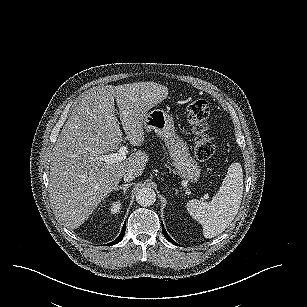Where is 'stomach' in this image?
<instances>
[{
  "mask_svg": "<svg viewBox=\"0 0 307 307\" xmlns=\"http://www.w3.org/2000/svg\"><path fill=\"white\" fill-rule=\"evenodd\" d=\"M145 134L154 132L161 138L169 150L171 160L177 172L189 180L196 181L199 177L197 162L190 156L186 143L180 139L174 130L171 115L162 109H153L147 112L142 124Z\"/></svg>",
  "mask_w": 307,
  "mask_h": 307,
  "instance_id": "stomach-1",
  "label": "stomach"
}]
</instances>
